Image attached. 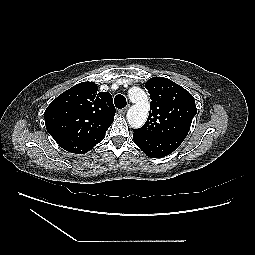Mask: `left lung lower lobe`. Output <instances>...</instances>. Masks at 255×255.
Here are the masks:
<instances>
[{"label": "left lung lower lobe", "instance_id": "0a47b994", "mask_svg": "<svg viewBox=\"0 0 255 255\" xmlns=\"http://www.w3.org/2000/svg\"><path fill=\"white\" fill-rule=\"evenodd\" d=\"M134 143L149 157L160 158L171 154L184 139L177 137H144L133 133Z\"/></svg>", "mask_w": 255, "mask_h": 255}]
</instances>
